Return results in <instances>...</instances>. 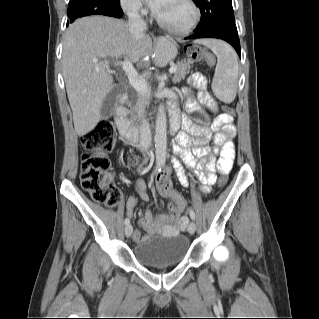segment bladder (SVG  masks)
I'll return each instance as SVG.
<instances>
[{
	"label": "bladder",
	"instance_id": "1",
	"mask_svg": "<svg viewBox=\"0 0 319 319\" xmlns=\"http://www.w3.org/2000/svg\"><path fill=\"white\" fill-rule=\"evenodd\" d=\"M191 249L189 238L182 234L151 236L134 247L135 258L146 266L175 265L183 261Z\"/></svg>",
	"mask_w": 319,
	"mask_h": 319
}]
</instances>
